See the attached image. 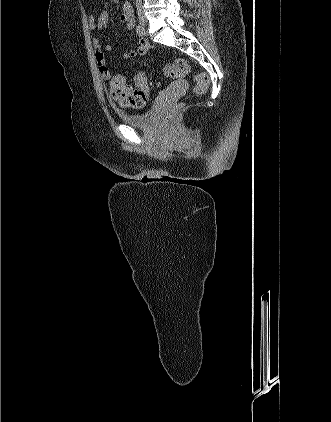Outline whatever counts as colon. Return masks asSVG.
Masks as SVG:
<instances>
[{
    "instance_id": "colon-1",
    "label": "colon",
    "mask_w": 331,
    "mask_h": 422,
    "mask_svg": "<svg viewBox=\"0 0 331 422\" xmlns=\"http://www.w3.org/2000/svg\"><path fill=\"white\" fill-rule=\"evenodd\" d=\"M190 71L189 63L183 59H177L164 67L165 74L171 78H182ZM208 86L209 78L205 73H198L194 76L193 93L196 96L205 94ZM110 93L115 100L140 108L148 101L149 87L143 73L137 75L134 87L128 85L120 75H116L110 80ZM182 107V103L176 104L167 111L166 116L168 118L176 117Z\"/></svg>"
}]
</instances>
